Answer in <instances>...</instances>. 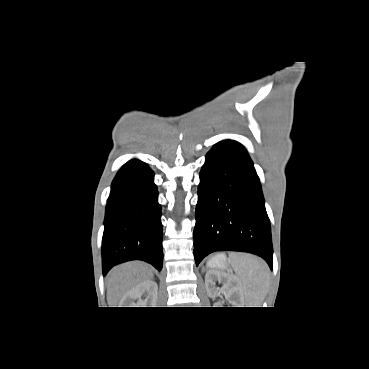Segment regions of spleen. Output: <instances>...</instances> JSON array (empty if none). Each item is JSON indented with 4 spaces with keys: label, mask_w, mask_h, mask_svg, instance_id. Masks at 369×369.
I'll list each match as a JSON object with an SVG mask.
<instances>
[{
    "label": "spleen",
    "mask_w": 369,
    "mask_h": 369,
    "mask_svg": "<svg viewBox=\"0 0 369 369\" xmlns=\"http://www.w3.org/2000/svg\"><path fill=\"white\" fill-rule=\"evenodd\" d=\"M229 258L238 276L244 298L247 304L250 305L248 307H260L269 284L267 264L250 254L231 253Z\"/></svg>",
    "instance_id": "3e777b00"
}]
</instances>
